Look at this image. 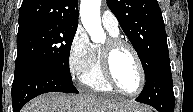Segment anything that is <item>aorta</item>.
Segmentation results:
<instances>
[{
	"instance_id": "aorta-1",
	"label": "aorta",
	"mask_w": 193,
	"mask_h": 112,
	"mask_svg": "<svg viewBox=\"0 0 193 112\" xmlns=\"http://www.w3.org/2000/svg\"><path fill=\"white\" fill-rule=\"evenodd\" d=\"M100 5L101 0H81L80 4L81 22L95 43L103 42L106 38L101 25Z\"/></svg>"
}]
</instances>
